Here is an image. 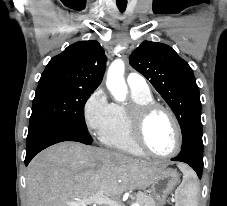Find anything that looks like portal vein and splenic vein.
Segmentation results:
<instances>
[{"label": "portal vein and splenic vein", "instance_id": "1", "mask_svg": "<svg viewBox=\"0 0 227 206\" xmlns=\"http://www.w3.org/2000/svg\"><path fill=\"white\" fill-rule=\"evenodd\" d=\"M92 203H100L106 206H118L115 201L105 197L103 191H99L87 199L70 202L68 204L69 206H87ZM131 206H139V204L135 202L131 204Z\"/></svg>", "mask_w": 227, "mask_h": 206}]
</instances>
